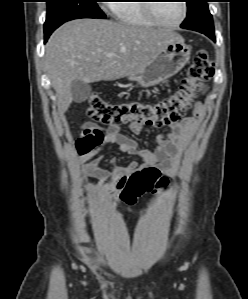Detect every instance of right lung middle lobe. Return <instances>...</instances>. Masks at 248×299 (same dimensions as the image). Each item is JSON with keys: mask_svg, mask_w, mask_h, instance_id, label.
Wrapping results in <instances>:
<instances>
[{"mask_svg": "<svg viewBox=\"0 0 248 299\" xmlns=\"http://www.w3.org/2000/svg\"><path fill=\"white\" fill-rule=\"evenodd\" d=\"M97 0H47V17L44 24L45 41L66 21L78 18L104 19Z\"/></svg>", "mask_w": 248, "mask_h": 299, "instance_id": "dd1d6c3e", "label": "right lung middle lobe"}]
</instances>
